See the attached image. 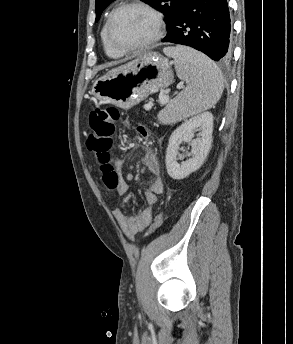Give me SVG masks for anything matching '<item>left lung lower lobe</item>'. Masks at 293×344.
Here are the masks:
<instances>
[{
  "mask_svg": "<svg viewBox=\"0 0 293 344\" xmlns=\"http://www.w3.org/2000/svg\"><path fill=\"white\" fill-rule=\"evenodd\" d=\"M230 31L227 0H183L162 42L190 46L215 61H228Z\"/></svg>",
  "mask_w": 293,
  "mask_h": 344,
  "instance_id": "0a47b994",
  "label": "left lung lower lobe"
}]
</instances>
